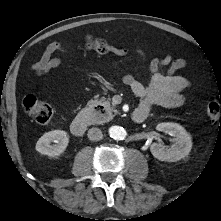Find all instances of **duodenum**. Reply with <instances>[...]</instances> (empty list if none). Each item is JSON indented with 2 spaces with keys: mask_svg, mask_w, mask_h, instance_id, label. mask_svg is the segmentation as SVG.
Returning a JSON list of instances; mask_svg holds the SVG:
<instances>
[{
  "mask_svg": "<svg viewBox=\"0 0 221 221\" xmlns=\"http://www.w3.org/2000/svg\"><path fill=\"white\" fill-rule=\"evenodd\" d=\"M147 115L148 113L145 110L137 109L132 113L131 118L135 123H142L146 119ZM86 129V117L83 114H80L72 122L71 131L76 136H82L85 133Z\"/></svg>",
  "mask_w": 221,
  "mask_h": 221,
  "instance_id": "1",
  "label": "duodenum"
}]
</instances>
